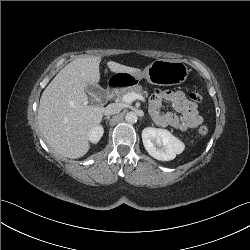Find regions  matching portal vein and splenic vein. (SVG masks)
Instances as JSON below:
<instances>
[{"label": "portal vein and splenic vein", "mask_w": 250, "mask_h": 250, "mask_svg": "<svg viewBox=\"0 0 250 250\" xmlns=\"http://www.w3.org/2000/svg\"><path fill=\"white\" fill-rule=\"evenodd\" d=\"M135 100H140L145 102V98L141 94L129 93L122 97V101L125 103H132Z\"/></svg>", "instance_id": "1"}]
</instances>
